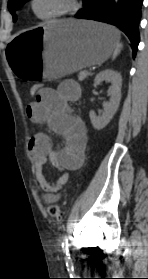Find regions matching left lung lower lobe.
Wrapping results in <instances>:
<instances>
[{
  "mask_svg": "<svg viewBox=\"0 0 148 279\" xmlns=\"http://www.w3.org/2000/svg\"><path fill=\"white\" fill-rule=\"evenodd\" d=\"M84 9L75 17L112 24L121 29L130 39L133 56H136L139 22L143 0H83Z\"/></svg>",
  "mask_w": 148,
  "mask_h": 279,
  "instance_id": "1",
  "label": "left lung lower lobe"
}]
</instances>
